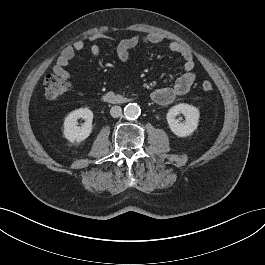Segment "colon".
<instances>
[{"label":"colon","mask_w":265,"mask_h":265,"mask_svg":"<svg viewBox=\"0 0 265 265\" xmlns=\"http://www.w3.org/2000/svg\"><path fill=\"white\" fill-rule=\"evenodd\" d=\"M200 88L204 92H211L213 84L208 80L200 83ZM68 90L66 82L55 75H48L44 80V92L48 100H56L63 96Z\"/></svg>","instance_id":"1"}]
</instances>
